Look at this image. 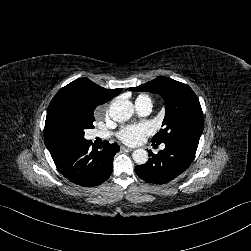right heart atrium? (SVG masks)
I'll return each instance as SVG.
<instances>
[{"label":"right heart atrium","instance_id":"d8ad5b80","mask_svg":"<svg viewBox=\"0 0 251 251\" xmlns=\"http://www.w3.org/2000/svg\"><path fill=\"white\" fill-rule=\"evenodd\" d=\"M108 109H109V105H103V106L98 108V112L99 113H107Z\"/></svg>","mask_w":251,"mask_h":251}]
</instances>
